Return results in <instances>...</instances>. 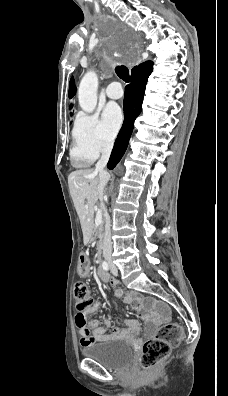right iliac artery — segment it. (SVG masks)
<instances>
[{"instance_id":"82829eb1","label":"right iliac artery","mask_w":228,"mask_h":396,"mask_svg":"<svg viewBox=\"0 0 228 396\" xmlns=\"http://www.w3.org/2000/svg\"><path fill=\"white\" fill-rule=\"evenodd\" d=\"M102 268H103L105 271L109 270V265H108V263H107L106 261H103V262H102Z\"/></svg>"}]
</instances>
